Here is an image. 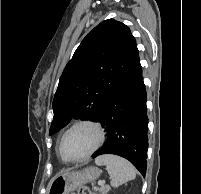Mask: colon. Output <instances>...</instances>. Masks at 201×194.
I'll use <instances>...</instances> for the list:
<instances>
[{
	"label": "colon",
	"instance_id": "colon-1",
	"mask_svg": "<svg viewBox=\"0 0 201 194\" xmlns=\"http://www.w3.org/2000/svg\"><path fill=\"white\" fill-rule=\"evenodd\" d=\"M73 194H96V193H93L88 187L82 186Z\"/></svg>",
	"mask_w": 201,
	"mask_h": 194
}]
</instances>
